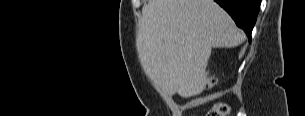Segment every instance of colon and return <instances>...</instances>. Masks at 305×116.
Segmentation results:
<instances>
[{
	"label": "colon",
	"instance_id": "1",
	"mask_svg": "<svg viewBox=\"0 0 305 116\" xmlns=\"http://www.w3.org/2000/svg\"><path fill=\"white\" fill-rule=\"evenodd\" d=\"M216 84V80L211 75H207L206 77V86L208 88L214 87ZM230 113V107L227 104L218 103L212 106V108L208 111L207 116H227Z\"/></svg>",
	"mask_w": 305,
	"mask_h": 116
}]
</instances>
